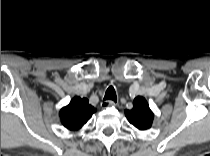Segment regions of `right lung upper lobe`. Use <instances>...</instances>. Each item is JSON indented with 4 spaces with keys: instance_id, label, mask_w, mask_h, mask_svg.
<instances>
[{
    "instance_id": "right-lung-upper-lobe-1",
    "label": "right lung upper lobe",
    "mask_w": 210,
    "mask_h": 156,
    "mask_svg": "<svg viewBox=\"0 0 210 156\" xmlns=\"http://www.w3.org/2000/svg\"><path fill=\"white\" fill-rule=\"evenodd\" d=\"M96 109L91 106L86 98L75 97L71 102L60 110L62 124L69 130L80 129Z\"/></svg>"
}]
</instances>
